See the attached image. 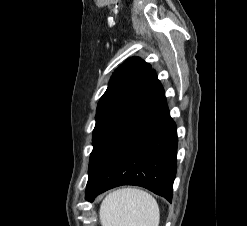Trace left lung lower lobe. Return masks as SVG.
Listing matches in <instances>:
<instances>
[{
    "label": "left lung lower lobe",
    "instance_id": "left-lung-lower-lobe-1",
    "mask_svg": "<svg viewBox=\"0 0 247 226\" xmlns=\"http://www.w3.org/2000/svg\"><path fill=\"white\" fill-rule=\"evenodd\" d=\"M177 133L164 90L150 70L93 143L86 199L137 185L172 199Z\"/></svg>",
    "mask_w": 247,
    "mask_h": 226
}]
</instances>
